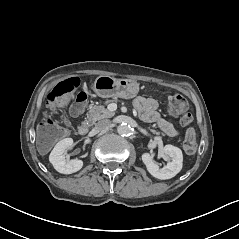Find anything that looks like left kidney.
<instances>
[{"mask_svg":"<svg viewBox=\"0 0 239 239\" xmlns=\"http://www.w3.org/2000/svg\"><path fill=\"white\" fill-rule=\"evenodd\" d=\"M164 154L171 158V161L167 163L163 168H159L158 164L153 161L152 156L149 153L142 155V161L146 165L148 172L155 178L165 180L170 179L178 174L183 165V154L181 149L173 145H165L163 148Z\"/></svg>","mask_w":239,"mask_h":239,"instance_id":"left-kidney-1","label":"left kidney"}]
</instances>
